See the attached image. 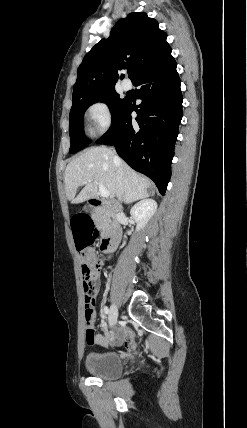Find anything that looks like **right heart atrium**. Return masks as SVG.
Segmentation results:
<instances>
[{
  "mask_svg": "<svg viewBox=\"0 0 247 428\" xmlns=\"http://www.w3.org/2000/svg\"><path fill=\"white\" fill-rule=\"evenodd\" d=\"M87 118L92 134H102L106 132L112 123V113L107 102L99 100L89 105L87 108Z\"/></svg>",
  "mask_w": 247,
  "mask_h": 428,
  "instance_id": "1",
  "label": "right heart atrium"
}]
</instances>
